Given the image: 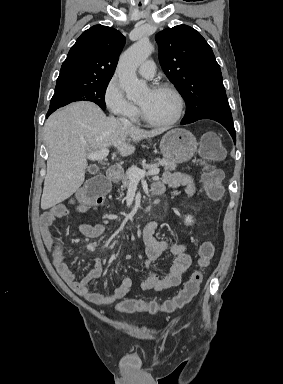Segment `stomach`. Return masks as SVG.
Masks as SVG:
<instances>
[{
  "label": "stomach",
  "mask_w": 283,
  "mask_h": 384,
  "mask_svg": "<svg viewBox=\"0 0 283 384\" xmlns=\"http://www.w3.org/2000/svg\"><path fill=\"white\" fill-rule=\"evenodd\" d=\"M197 140L188 130L175 128L163 136L160 150L164 160L172 164H183L193 158L197 150Z\"/></svg>",
  "instance_id": "obj_1"
}]
</instances>
